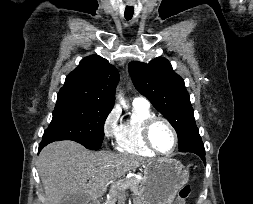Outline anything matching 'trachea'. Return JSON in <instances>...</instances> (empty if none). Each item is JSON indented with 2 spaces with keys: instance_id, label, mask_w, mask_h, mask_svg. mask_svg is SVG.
I'll return each instance as SVG.
<instances>
[{
  "instance_id": "1",
  "label": "trachea",
  "mask_w": 253,
  "mask_h": 204,
  "mask_svg": "<svg viewBox=\"0 0 253 204\" xmlns=\"http://www.w3.org/2000/svg\"><path fill=\"white\" fill-rule=\"evenodd\" d=\"M134 14V7L133 6H126L125 8V19L131 20Z\"/></svg>"
}]
</instances>
